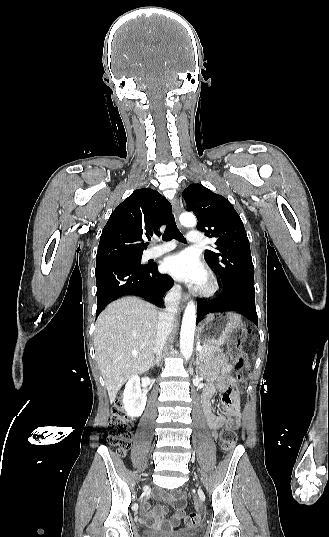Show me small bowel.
I'll use <instances>...</instances> for the list:
<instances>
[{
	"label": "small bowel",
	"instance_id": "small-bowel-1",
	"mask_svg": "<svg viewBox=\"0 0 329 537\" xmlns=\"http://www.w3.org/2000/svg\"><path fill=\"white\" fill-rule=\"evenodd\" d=\"M233 365L228 362L225 356L217 358L209 371L210 383L205 387L202 394V404L209 428L216 436L217 430L226 422L235 421L240 418V403L237 392L233 389L236 385V378L231 375ZM223 394L224 399L221 405V413H215L212 409V398L216 392ZM229 397V401L225 398ZM158 497L172 505L174 513L170 518H166L167 508L158 505L151 508L150 503L145 501L143 521L156 530L172 531L177 528L184 518V499L180 491L175 493L161 492Z\"/></svg>",
	"mask_w": 329,
	"mask_h": 537
}]
</instances>
